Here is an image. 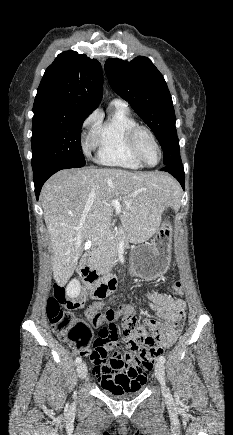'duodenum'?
Here are the masks:
<instances>
[{
  "label": "duodenum",
  "instance_id": "410a0bca",
  "mask_svg": "<svg viewBox=\"0 0 233 435\" xmlns=\"http://www.w3.org/2000/svg\"><path fill=\"white\" fill-rule=\"evenodd\" d=\"M103 245V242H99L93 250L86 252L82 257L81 265L79 268L81 275L93 276V281L92 283L88 284V289L90 290L91 296L94 299H102L107 296V289L111 281V278L99 280V272L96 268L92 266L94 253L102 248Z\"/></svg>",
  "mask_w": 233,
  "mask_h": 435
}]
</instances>
